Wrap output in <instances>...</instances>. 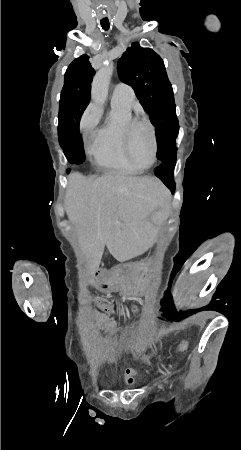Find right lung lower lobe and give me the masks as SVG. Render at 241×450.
Segmentation results:
<instances>
[{"instance_id":"right-lung-lower-lobe-1","label":"right lung lower lobe","mask_w":241,"mask_h":450,"mask_svg":"<svg viewBox=\"0 0 241 450\" xmlns=\"http://www.w3.org/2000/svg\"><path fill=\"white\" fill-rule=\"evenodd\" d=\"M82 114L80 116H77L72 124L70 125L66 139V151L70 155H76V154H82L84 153V149L82 147V142L80 141L79 137V122Z\"/></svg>"}]
</instances>
